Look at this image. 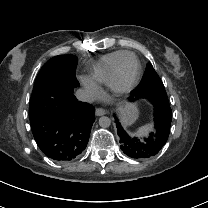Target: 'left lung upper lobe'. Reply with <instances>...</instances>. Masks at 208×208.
Returning <instances> with one entry per match:
<instances>
[{
	"label": "left lung upper lobe",
	"mask_w": 208,
	"mask_h": 208,
	"mask_svg": "<svg viewBox=\"0 0 208 208\" xmlns=\"http://www.w3.org/2000/svg\"><path fill=\"white\" fill-rule=\"evenodd\" d=\"M133 95L154 98L169 103L164 85L151 64L148 66L145 77L142 78L141 83L133 91Z\"/></svg>",
	"instance_id": "5c2ea615"
}]
</instances>
